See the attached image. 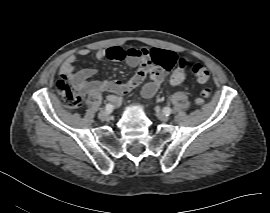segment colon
<instances>
[{"label": "colon", "mask_w": 270, "mask_h": 213, "mask_svg": "<svg viewBox=\"0 0 270 213\" xmlns=\"http://www.w3.org/2000/svg\"><path fill=\"white\" fill-rule=\"evenodd\" d=\"M115 60H124L127 57H144L152 61L153 63L163 67L164 69L170 71V81L172 84H180L185 79V68L187 62L185 59L176 58L172 53L167 51H149L143 48H129L126 50H114L112 54ZM142 74H147L146 67L142 68L140 71ZM192 73L195 79L202 84H209L210 73L206 66L200 63H196L192 67ZM56 88L60 92L61 96L67 107L71 109H78L82 106V99L77 96L70 88H67L63 81H58L56 83ZM211 89L206 86L202 89L199 97L195 101L197 107H201L205 101L210 97Z\"/></svg>", "instance_id": "obj_1"}]
</instances>
